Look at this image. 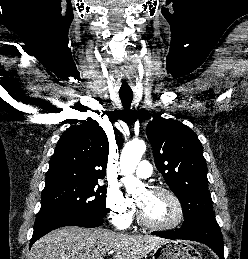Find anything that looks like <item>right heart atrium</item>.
Segmentation results:
<instances>
[{
  "label": "right heart atrium",
  "instance_id": "obj_1",
  "mask_svg": "<svg viewBox=\"0 0 248 259\" xmlns=\"http://www.w3.org/2000/svg\"><path fill=\"white\" fill-rule=\"evenodd\" d=\"M106 206L111 223L119 228H128L135 216V206L120 190L113 189L107 194Z\"/></svg>",
  "mask_w": 248,
  "mask_h": 259
}]
</instances>
